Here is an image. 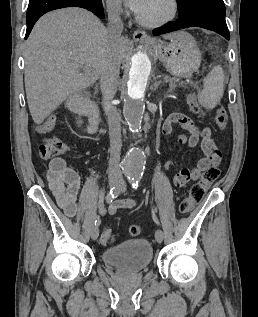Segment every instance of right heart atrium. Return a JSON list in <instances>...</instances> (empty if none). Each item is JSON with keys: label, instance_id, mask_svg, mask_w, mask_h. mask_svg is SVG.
Instances as JSON below:
<instances>
[{"label": "right heart atrium", "instance_id": "1", "mask_svg": "<svg viewBox=\"0 0 258 317\" xmlns=\"http://www.w3.org/2000/svg\"><path fill=\"white\" fill-rule=\"evenodd\" d=\"M106 5L110 14L119 15L122 12L121 5L118 1L108 0Z\"/></svg>", "mask_w": 258, "mask_h": 317}]
</instances>
